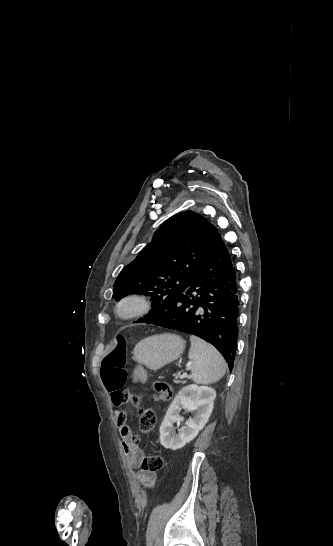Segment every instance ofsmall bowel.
Returning a JSON list of instances; mask_svg holds the SVG:
<instances>
[{
	"label": "small bowel",
	"mask_w": 333,
	"mask_h": 546,
	"mask_svg": "<svg viewBox=\"0 0 333 546\" xmlns=\"http://www.w3.org/2000/svg\"><path fill=\"white\" fill-rule=\"evenodd\" d=\"M135 370L132 371V376H136L138 380H143L144 386L147 384L145 381L149 380V368L145 363L139 361L135 365ZM111 402L114 406L120 407L123 403L122 398L124 391L117 390L109 392ZM127 413L123 409H118L115 413L116 423L119 430V435L122 441V449L128 465L132 468H140L144 459V453L139 445L136 443L133 432L129 425L126 423ZM156 479L155 472H148L145 470H139L137 473V480L146 488L153 486Z\"/></svg>",
	"instance_id": "small-bowel-1"
}]
</instances>
